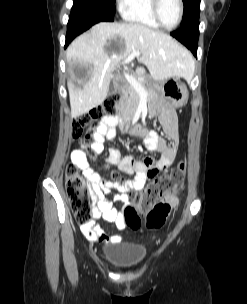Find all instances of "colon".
Wrapping results in <instances>:
<instances>
[{"instance_id":"5ec220e1","label":"colon","mask_w":247,"mask_h":304,"mask_svg":"<svg viewBox=\"0 0 247 304\" xmlns=\"http://www.w3.org/2000/svg\"><path fill=\"white\" fill-rule=\"evenodd\" d=\"M120 100L118 93H112L99 106L87 113L80 115L73 122L72 135L84 145L85 155L89 154L94 159V152L88 146L92 134L101 124L102 120L116 113ZM114 180L118 181L116 175ZM185 164L181 163L168 174L153 176L152 181L145 190L133 195L132 202L124 210L125 223L132 229L140 225V213L146 214V228L158 229L163 226L177 199L172 194L184 184ZM121 183V182H119ZM66 190L76 221L80 225L91 222L93 207L90 200V186L79 174L76 167L66 170Z\"/></svg>"}]
</instances>
